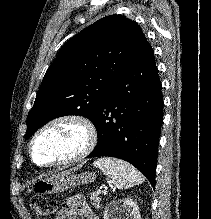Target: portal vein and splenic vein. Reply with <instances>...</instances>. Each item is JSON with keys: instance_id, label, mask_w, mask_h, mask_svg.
I'll return each instance as SVG.
<instances>
[{"instance_id": "obj_1", "label": "portal vein and splenic vein", "mask_w": 211, "mask_h": 219, "mask_svg": "<svg viewBox=\"0 0 211 219\" xmlns=\"http://www.w3.org/2000/svg\"><path fill=\"white\" fill-rule=\"evenodd\" d=\"M103 193V194H107V190L106 189H103V190H101V189H99L98 191H97V193Z\"/></svg>"}]
</instances>
